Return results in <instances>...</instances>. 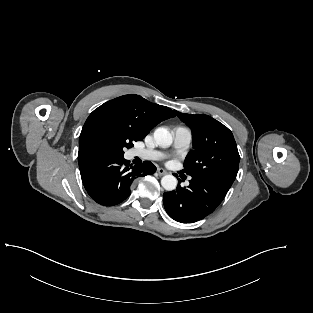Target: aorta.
<instances>
[{
  "label": "aorta",
  "mask_w": 313,
  "mask_h": 313,
  "mask_svg": "<svg viewBox=\"0 0 313 313\" xmlns=\"http://www.w3.org/2000/svg\"><path fill=\"white\" fill-rule=\"evenodd\" d=\"M154 140L162 148L169 147L173 142L172 135L163 127H159L154 131ZM161 185L165 190L172 191L177 186V179L173 175H165L161 179Z\"/></svg>",
  "instance_id": "obj_1"
}]
</instances>
